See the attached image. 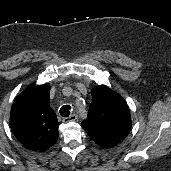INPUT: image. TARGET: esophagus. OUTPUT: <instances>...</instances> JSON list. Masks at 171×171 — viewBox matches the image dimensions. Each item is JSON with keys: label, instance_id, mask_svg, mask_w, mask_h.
<instances>
[{"label": "esophagus", "instance_id": "esophagus-1", "mask_svg": "<svg viewBox=\"0 0 171 171\" xmlns=\"http://www.w3.org/2000/svg\"><path fill=\"white\" fill-rule=\"evenodd\" d=\"M78 119L77 114H71L69 117H65L63 121L65 123L70 122V121H76Z\"/></svg>", "mask_w": 171, "mask_h": 171}]
</instances>
